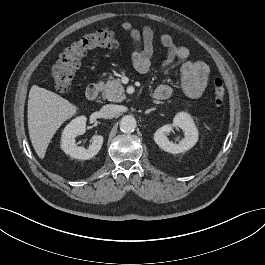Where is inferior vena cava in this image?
I'll use <instances>...</instances> for the list:
<instances>
[{
	"label": "inferior vena cava",
	"mask_w": 265,
	"mask_h": 265,
	"mask_svg": "<svg viewBox=\"0 0 265 265\" xmlns=\"http://www.w3.org/2000/svg\"><path fill=\"white\" fill-rule=\"evenodd\" d=\"M100 112L103 118L111 119L118 114L119 110L117 105L107 104L101 108Z\"/></svg>",
	"instance_id": "1"
}]
</instances>
